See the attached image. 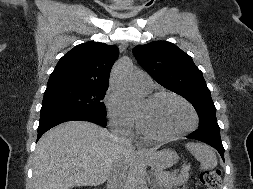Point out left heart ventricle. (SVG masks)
<instances>
[{
	"instance_id": "left-heart-ventricle-1",
	"label": "left heart ventricle",
	"mask_w": 253,
	"mask_h": 189,
	"mask_svg": "<svg viewBox=\"0 0 253 189\" xmlns=\"http://www.w3.org/2000/svg\"><path fill=\"white\" fill-rule=\"evenodd\" d=\"M144 130L157 136L177 133L192 122L189 109L181 102L165 97L154 103L145 101L137 111Z\"/></svg>"
}]
</instances>
